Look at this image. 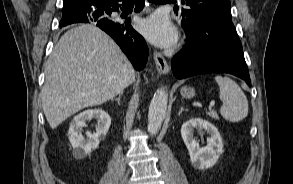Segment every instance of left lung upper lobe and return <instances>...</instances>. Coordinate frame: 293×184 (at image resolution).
<instances>
[{
	"label": "left lung upper lobe",
	"instance_id": "1",
	"mask_svg": "<svg viewBox=\"0 0 293 184\" xmlns=\"http://www.w3.org/2000/svg\"><path fill=\"white\" fill-rule=\"evenodd\" d=\"M186 5L190 6V9H182V18L196 19L201 10H211L212 14L216 12L220 15H227L231 18V5L229 0H187Z\"/></svg>",
	"mask_w": 293,
	"mask_h": 184
}]
</instances>
